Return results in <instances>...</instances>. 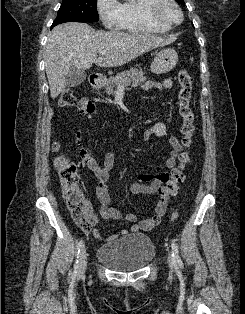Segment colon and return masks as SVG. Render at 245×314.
Segmentation results:
<instances>
[{
  "instance_id": "5ec220e1",
  "label": "colon",
  "mask_w": 245,
  "mask_h": 314,
  "mask_svg": "<svg viewBox=\"0 0 245 314\" xmlns=\"http://www.w3.org/2000/svg\"><path fill=\"white\" fill-rule=\"evenodd\" d=\"M179 91V114L182 117L183 144L186 151L179 156V165L171 172V177L167 185L159 191L161 202L167 204L168 199L175 195L179 185L184 181V170L190 163L189 147L192 143L193 114L190 109V98L192 90V77L186 69H181L178 73ZM79 102L71 89H65L59 96L58 106L60 108L78 107ZM54 150L59 154L54 159V168L57 172L63 197L75 224L84 231H89L92 227L91 220L86 211V198L79 188V165L72 162L67 156L61 153L59 144L54 145ZM177 213L172 218L175 219Z\"/></svg>"
}]
</instances>
